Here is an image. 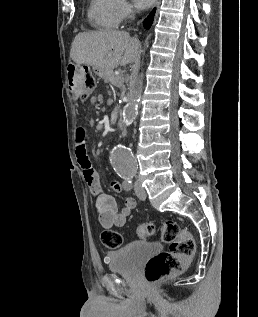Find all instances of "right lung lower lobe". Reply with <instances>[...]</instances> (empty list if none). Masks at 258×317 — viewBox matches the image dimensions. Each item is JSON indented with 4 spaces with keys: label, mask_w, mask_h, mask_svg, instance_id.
Segmentation results:
<instances>
[{
    "label": "right lung lower lobe",
    "mask_w": 258,
    "mask_h": 317,
    "mask_svg": "<svg viewBox=\"0 0 258 317\" xmlns=\"http://www.w3.org/2000/svg\"><path fill=\"white\" fill-rule=\"evenodd\" d=\"M155 10H153L149 16L144 20L143 25L146 29H149L153 22V16H154Z\"/></svg>",
    "instance_id": "obj_1"
}]
</instances>
